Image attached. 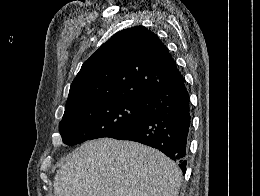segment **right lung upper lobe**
Instances as JSON below:
<instances>
[{
	"label": "right lung upper lobe",
	"instance_id": "right-lung-upper-lobe-1",
	"mask_svg": "<svg viewBox=\"0 0 260 196\" xmlns=\"http://www.w3.org/2000/svg\"><path fill=\"white\" fill-rule=\"evenodd\" d=\"M181 76L157 35L135 26L117 32L84 62L66 107L110 95L139 101Z\"/></svg>",
	"mask_w": 260,
	"mask_h": 196
}]
</instances>
